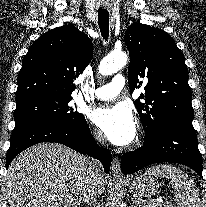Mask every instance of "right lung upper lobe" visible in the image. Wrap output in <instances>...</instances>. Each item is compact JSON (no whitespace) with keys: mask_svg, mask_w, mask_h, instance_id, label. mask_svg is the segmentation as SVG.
<instances>
[{"mask_svg":"<svg viewBox=\"0 0 206 207\" xmlns=\"http://www.w3.org/2000/svg\"><path fill=\"white\" fill-rule=\"evenodd\" d=\"M92 55L91 40L73 25L43 34L23 59L15 100L36 94L71 96L73 80L83 73Z\"/></svg>","mask_w":206,"mask_h":207,"instance_id":"cb5924a9","label":"right lung upper lobe"}]
</instances>
